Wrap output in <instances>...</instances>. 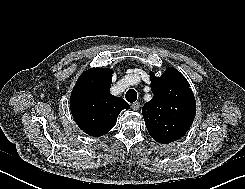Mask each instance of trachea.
I'll list each match as a JSON object with an SVG mask.
<instances>
[{
    "instance_id": "1",
    "label": "trachea",
    "mask_w": 245,
    "mask_h": 189,
    "mask_svg": "<svg viewBox=\"0 0 245 189\" xmlns=\"http://www.w3.org/2000/svg\"><path fill=\"white\" fill-rule=\"evenodd\" d=\"M125 98L128 102L133 103L137 100V92L134 89H129L125 94Z\"/></svg>"
}]
</instances>
